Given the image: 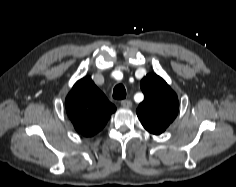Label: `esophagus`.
<instances>
[{
  "label": "esophagus",
  "mask_w": 236,
  "mask_h": 187,
  "mask_svg": "<svg viewBox=\"0 0 236 187\" xmlns=\"http://www.w3.org/2000/svg\"><path fill=\"white\" fill-rule=\"evenodd\" d=\"M121 105L124 107V108H130L132 106V102L130 100H122L121 101Z\"/></svg>",
  "instance_id": "34e87169"
}]
</instances>
